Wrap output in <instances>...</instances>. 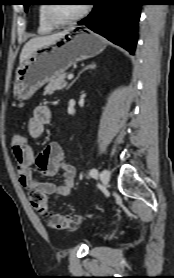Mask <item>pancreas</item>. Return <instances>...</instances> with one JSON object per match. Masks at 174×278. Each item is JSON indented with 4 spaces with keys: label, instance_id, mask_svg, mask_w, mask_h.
<instances>
[{
    "label": "pancreas",
    "instance_id": "cf45deb5",
    "mask_svg": "<svg viewBox=\"0 0 174 278\" xmlns=\"http://www.w3.org/2000/svg\"><path fill=\"white\" fill-rule=\"evenodd\" d=\"M65 78H66V73H63L51 79L49 84L44 89V94L51 95L54 93V91L65 88L67 85Z\"/></svg>",
    "mask_w": 174,
    "mask_h": 278
}]
</instances>
